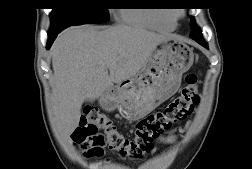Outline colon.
Instances as JSON below:
<instances>
[{
	"instance_id": "obj_1",
	"label": "colon",
	"mask_w": 252,
	"mask_h": 169,
	"mask_svg": "<svg viewBox=\"0 0 252 169\" xmlns=\"http://www.w3.org/2000/svg\"><path fill=\"white\" fill-rule=\"evenodd\" d=\"M198 103V79L189 73L179 95L161 110L141 119L132 135L123 134L103 112L86 106L72 138L89 158L102 157L108 148L123 158L139 160L152 150L155 139L190 115Z\"/></svg>"
}]
</instances>
